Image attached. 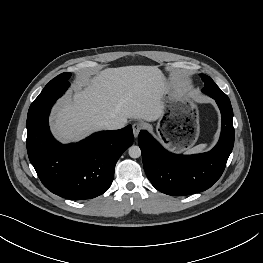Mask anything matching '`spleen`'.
<instances>
[{
	"label": "spleen",
	"mask_w": 263,
	"mask_h": 263,
	"mask_svg": "<svg viewBox=\"0 0 263 263\" xmlns=\"http://www.w3.org/2000/svg\"><path fill=\"white\" fill-rule=\"evenodd\" d=\"M207 147V144H199L193 148L188 149L185 154H196L203 152Z\"/></svg>",
	"instance_id": "obj_1"
}]
</instances>
